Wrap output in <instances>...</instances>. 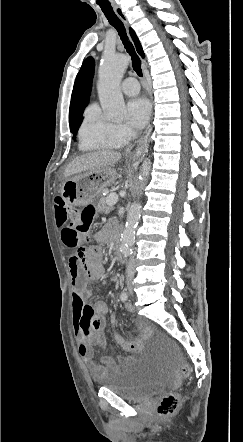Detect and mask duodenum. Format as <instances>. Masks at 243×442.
Segmentation results:
<instances>
[{"mask_svg": "<svg viewBox=\"0 0 243 442\" xmlns=\"http://www.w3.org/2000/svg\"><path fill=\"white\" fill-rule=\"evenodd\" d=\"M115 250L119 258L124 259L123 256V246L119 239V235L115 236Z\"/></svg>", "mask_w": 243, "mask_h": 442, "instance_id": "410a0bca", "label": "duodenum"}]
</instances>
